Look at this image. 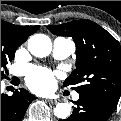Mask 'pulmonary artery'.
<instances>
[{"instance_id":"e3ab8cb5","label":"pulmonary artery","mask_w":121,"mask_h":121,"mask_svg":"<svg viewBox=\"0 0 121 121\" xmlns=\"http://www.w3.org/2000/svg\"><path fill=\"white\" fill-rule=\"evenodd\" d=\"M76 50V45L73 40L58 37L53 42V57L56 60H64L72 55ZM79 94L75 93L72 95V99L77 101Z\"/></svg>"}]
</instances>
